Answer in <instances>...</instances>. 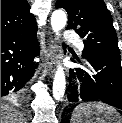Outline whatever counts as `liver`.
<instances>
[{
  "label": "liver",
  "mask_w": 122,
  "mask_h": 123,
  "mask_svg": "<svg viewBox=\"0 0 122 123\" xmlns=\"http://www.w3.org/2000/svg\"><path fill=\"white\" fill-rule=\"evenodd\" d=\"M1 123H25V119L12 106L1 105Z\"/></svg>",
  "instance_id": "6515ba94"
}]
</instances>
